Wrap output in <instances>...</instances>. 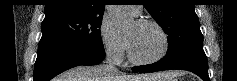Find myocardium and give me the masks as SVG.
Wrapping results in <instances>:
<instances>
[{
	"instance_id": "myocardium-1",
	"label": "myocardium",
	"mask_w": 237,
	"mask_h": 81,
	"mask_svg": "<svg viewBox=\"0 0 237 81\" xmlns=\"http://www.w3.org/2000/svg\"><path fill=\"white\" fill-rule=\"evenodd\" d=\"M136 23L140 26H153L154 28H156L162 37L163 48H162L161 52L153 58L139 59L133 54V52L131 50L130 43H129L128 39L125 37L127 53H128V57H129L130 61L134 64H137V65H147V64L156 63V62L160 61L161 59H163L166 56V54L168 53L169 46H170L169 37H168L167 33L165 32V30L162 28V26L159 23H157L154 20L138 19L136 21Z\"/></svg>"
}]
</instances>
